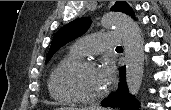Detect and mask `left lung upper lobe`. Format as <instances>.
Segmentation results:
<instances>
[{
	"label": "left lung upper lobe",
	"instance_id": "left-lung-upper-lobe-1",
	"mask_svg": "<svg viewBox=\"0 0 171 110\" xmlns=\"http://www.w3.org/2000/svg\"><path fill=\"white\" fill-rule=\"evenodd\" d=\"M111 10L123 12L134 17L132 8L125 1H116ZM90 24L91 21L89 18H79L69 22L59 29L53 37L45 63H47L52 58L54 53H56L63 45L85 33Z\"/></svg>",
	"mask_w": 171,
	"mask_h": 110
}]
</instances>
